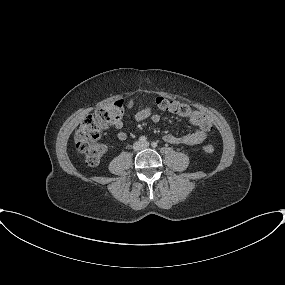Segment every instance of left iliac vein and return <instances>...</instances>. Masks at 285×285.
Here are the masks:
<instances>
[{
	"instance_id": "1",
	"label": "left iliac vein",
	"mask_w": 285,
	"mask_h": 285,
	"mask_svg": "<svg viewBox=\"0 0 285 285\" xmlns=\"http://www.w3.org/2000/svg\"><path fill=\"white\" fill-rule=\"evenodd\" d=\"M149 143L148 142H145L142 146H143V148H148L149 147Z\"/></svg>"
}]
</instances>
